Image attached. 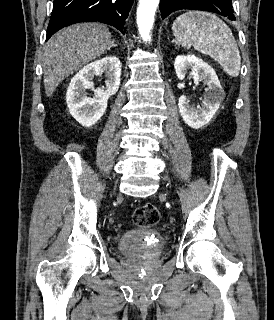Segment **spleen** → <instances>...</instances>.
<instances>
[{
    "mask_svg": "<svg viewBox=\"0 0 274 320\" xmlns=\"http://www.w3.org/2000/svg\"><path fill=\"white\" fill-rule=\"evenodd\" d=\"M172 30L182 46H193L197 52L210 56L231 78L239 76L241 58L235 38L230 28L215 14L190 10L176 18Z\"/></svg>",
    "mask_w": 274,
    "mask_h": 320,
    "instance_id": "spleen-1",
    "label": "spleen"
}]
</instances>
